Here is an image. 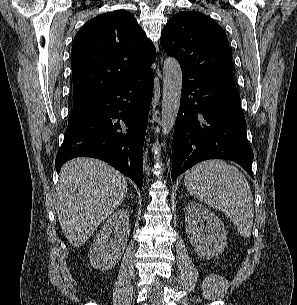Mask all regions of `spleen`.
<instances>
[{
	"mask_svg": "<svg viewBox=\"0 0 297 305\" xmlns=\"http://www.w3.org/2000/svg\"><path fill=\"white\" fill-rule=\"evenodd\" d=\"M184 184L196 199L222 211L248 238L253 225L254 207L245 176L222 160L201 162L185 173Z\"/></svg>",
	"mask_w": 297,
	"mask_h": 305,
	"instance_id": "1",
	"label": "spleen"
}]
</instances>
